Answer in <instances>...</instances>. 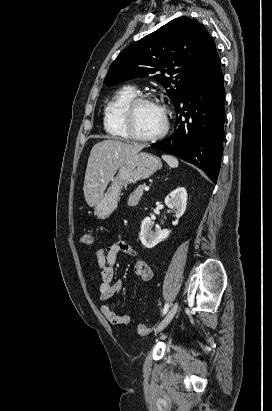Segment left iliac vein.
<instances>
[{
  "label": "left iliac vein",
  "mask_w": 272,
  "mask_h": 411,
  "mask_svg": "<svg viewBox=\"0 0 272 411\" xmlns=\"http://www.w3.org/2000/svg\"><path fill=\"white\" fill-rule=\"evenodd\" d=\"M177 309H178V302H175L173 306L170 308V310L168 311L167 315L164 317V319L157 325L155 329V333L162 331L171 322V320L173 319V317L175 316L177 312Z\"/></svg>",
  "instance_id": "4c4485c4"
}]
</instances>
